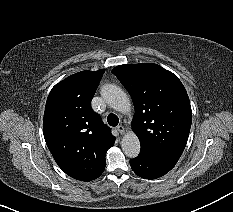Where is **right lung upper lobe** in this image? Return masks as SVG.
Masks as SVG:
<instances>
[{"mask_svg": "<svg viewBox=\"0 0 233 212\" xmlns=\"http://www.w3.org/2000/svg\"><path fill=\"white\" fill-rule=\"evenodd\" d=\"M104 69L81 71L50 91L43 121L47 146L59 167L69 176L91 181L105 169V155L115 137L91 108Z\"/></svg>", "mask_w": 233, "mask_h": 212, "instance_id": "obj_1", "label": "right lung upper lobe"}]
</instances>
